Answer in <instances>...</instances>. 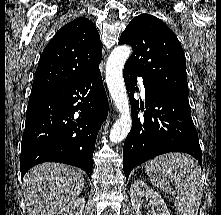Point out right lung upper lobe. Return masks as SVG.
Masks as SVG:
<instances>
[{"mask_svg":"<svg viewBox=\"0 0 221 215\" xmlns=\"http://www.w3.org/2000/svg\"><path fill=\"white\" fill-rule=\"evenodd\" d=\"M102 42L95 25L79 17L64 25L45 47L31 95L64 86L99 66Z\"/></svg>","mask_w":221,"mask_h":215,"instance_id":"1","label":"right lung upper lobe"}]
</instances>
